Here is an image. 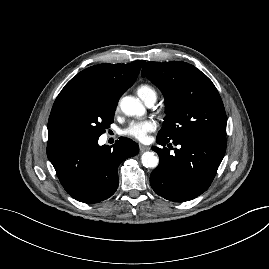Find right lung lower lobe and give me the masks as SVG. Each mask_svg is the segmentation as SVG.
Instances as JSON below:
<instances>
[{"instance_id": "98d812e1", "label": "right lung lower lobe", "mask_w": 269, "mask_h": 269, "mask_svg": "<svg viewBox=\"0 0 269 269\" xmlns=\"http://www.w3.org/2000/svg\"><path fill=\"white\" fill-rule=\"evenodd\" d=\"M138 152V144L124 137L112 147L99 146L98 138L47 146V157L66 192L87 204L98 203L115 193L119 164Z\"/></svg>"}]
</instances>
